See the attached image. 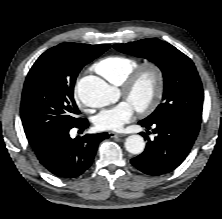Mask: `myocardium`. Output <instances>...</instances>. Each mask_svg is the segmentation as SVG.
Listing matches in <instances>:
<instances>
[{
    "mask_svg": "<svg viewBox=\"0 0 222 219\" xmlns=\"http://www.w3.org/2000/svg\"><path fill=\"white\" fill-rule=\"evenodd\" d=\"M145 73H149L153 79L152 96L147 103L133 106L139 114L143 115L152 113L161 102L165 86V75L161 66L151 61L140 64L126 76L121 84L124 97L130 99L136 83Z\"/></svg>",
    "mask_w": 222,
    "mask_h": 219,
    "instance_id": "f54148a6",
    "label": "myocardium"
}]
</instances>
